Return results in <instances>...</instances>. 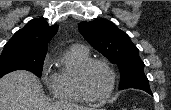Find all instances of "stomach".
<instances>
[{"instance_id":"obj_1","label":"stomach","mask_w":171,"mask_h":110,"mask_svg":"<svg viewBox=\"0 0 171 110\" xmlns=\"http://www.w3.org/2000/svg\"><path fill=\"white\" fill-rule=\"evenodd\" d=\"M90 110H105V109H96V108H94V109H90Z\"/></svg>"}]
</instances>
